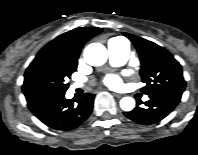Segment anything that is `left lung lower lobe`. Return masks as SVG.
I'll return each instance as SVG.
<instances>
[{
  "instance_id": "0a47b994",
  "label": "left lung lower lobe",
  "mask_w": 198,
  "mask_h": 155,
  "mask_svg": "<svg viewBox=\"0 0 198 155\" xmlns=\"http://www.w3.org/2000/svg\"><path fill=\"white\" fill-rule=\"evenodd\" d=\"M149 98L150 99L144 103V108L137 106L130 112H124L125 116L142 125L159 122L178 105L181 100V95L161 93L150 95Z\"/></svg>"
}]
</instances>
